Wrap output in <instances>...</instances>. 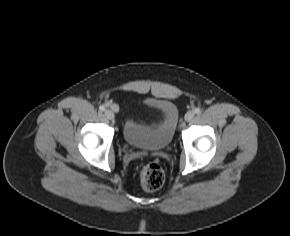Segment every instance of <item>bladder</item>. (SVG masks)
Segmentation results:
<instances>
[{"instance_id": "obj_1", "label": "bladder", "mask_w": 290, "mask_h": 236, "mask_svg": "<svg viewBox=\"0 0 290 236\" xmlns=\"http://www.w3.org/2000/svg\"><path fill=\"white\" fill-rule=\"evenodd\" d=\"M160 121L156 124H142L127 117L122 127V139L131 147L162 151L171 144L178 119L176 106L171 102H159Z\"/></svg>"}]
</instances>
